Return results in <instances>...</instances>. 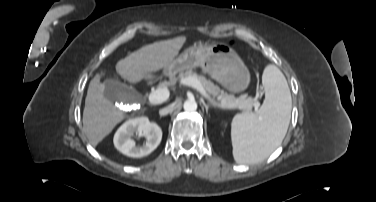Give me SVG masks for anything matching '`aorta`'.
I'll use <instances>...</instances> for the list:
<instances>
[{"label":"aorta","mask_w":376,"mask_h":202,"mask_svg":"<svg viewBox=\"0 0 376 202\" xmlns=\"http://www.w3.org/2000/svg\"><path fill=\"white\" fill-rule=\"evenodd\" d=\"M183 108L186 112H194L197 110V103L195 100H186L183 104Z\"/></svg>","instance_id":"1"}]
</instances>
